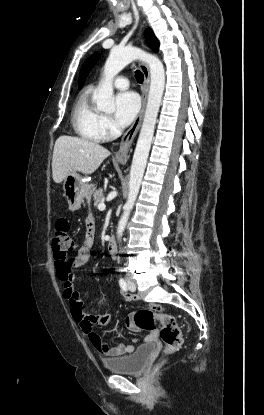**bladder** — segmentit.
I'll return each instance as SVG.
<instances>
[{"instance_id": "obj_1", "label": "bladder", "mask_w": 264, "mask_h": 415, "mask_svg": "<svg viewBox=\"0 0 264 415\" xmlns=\"http://www.w3.org/2000/svg\"><path fill=\"white\" fill-rule=\"evenodd\" d=\"M155 350L156 344L148 342L138 346L130 355L105 359L103 364L112 373L136 374L144 369Z\"/></svg>"}]
</instances>
